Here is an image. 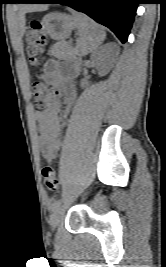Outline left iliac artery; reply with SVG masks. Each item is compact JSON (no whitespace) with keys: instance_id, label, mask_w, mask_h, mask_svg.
<instances>
[{"instance_id":"obj_1","label":"left iliac artery","mask_w":166,"mask_h":267,"mask_svg":"<svg viewBox=\"0 0 166 267\" xmlns=\"http://www.w3.org/2000/svg\"><path fill=\"white\" fill-rule=\"evenodd\" d=\"M61 205V201L60 200H56L53 204H52V211H56Z\"/></svg>"}]
</instances>
